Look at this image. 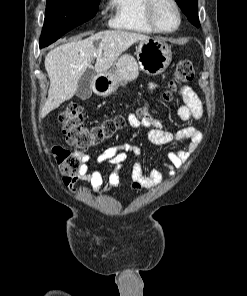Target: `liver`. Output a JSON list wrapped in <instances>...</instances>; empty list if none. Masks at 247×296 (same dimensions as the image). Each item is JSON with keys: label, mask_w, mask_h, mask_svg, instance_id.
I'll use <instances>...</instances> for the list:
<instances>
[{"label": "liver", "mask_w": 247, "mask_h": 296, "mask_svg": "<svg viewBox=\"0 0 247 296\" xmlns=\"http://www.w3.org/2000/svg\"><path fill=\"white\" fill-rule=\"evenodd\" d=\"M81 37L52 49L45 57L50 87L42 118L74 96L79 79L91 67L93 57H96V73H104L134 43L150 39L144 34L121 30L99 32L83 40Z\"/></svg>", "instance_id": "obj_1"}]
</instances>
